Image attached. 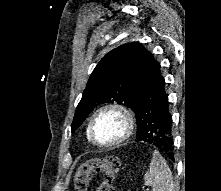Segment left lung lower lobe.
Wrapping results in <instances>:
<instances>
[{
    "instance_id": "0a47b994",
    "label": "left lung lower lobe",
    "mask_w": 221,
    "mask_h": 191,
    "mask_svg": "<svg viewBox=\"0 0 221 191\" xmlns=\"http://www.w3.org/2000/svg\"><path fill=\"white\" fill-rule=\"evenodd\" d=\"M133 105L137 120V141L154 145L174 160L173 122L165 81L160 73V64L148 50L141 59L135 79Z\"/></svg>"
}]
</instances>
